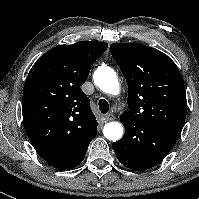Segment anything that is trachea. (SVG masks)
Here are the masks:
<instances>
[{
	"instance_id": "obj_1",
	"label": "trachea",
	"mask_w": 199,
	"mask_h": 199,
	"mask_svg": "<svg viewBox=\"0 0 199 199\" xmlns=\"http://www.w3.org/2000/svg\"><path fill=\"white\" fill-rule=\"evenodd\" d=\"M98 106L102 114H106L109 111V104L105 99H100Z\"/></svg>"
}]
</instances>
